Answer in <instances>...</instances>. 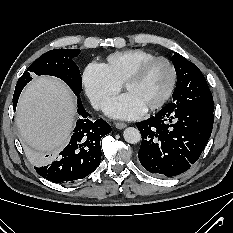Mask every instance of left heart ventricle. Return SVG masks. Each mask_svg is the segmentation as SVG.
Listing matches in <instances>:
<instances>
[{
	"instance_id": "obj_1",
	"label": "left heart ventricle",
	"mask_w": 233,
	"mask_h": 233,
	"mask_svg": "<svg viewBox=\"0 0 233 233\" xmlns=\"http://www.w3.org/2000/svg\"><path fill=\"white\" fill-rule=\"evenodd\" d=\"M170 70L163 62L153 64L137 81L128 85L126 91L141 105L148 108L166 92L170 83Z\"/></svg>"
}]
</instances>
